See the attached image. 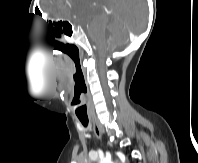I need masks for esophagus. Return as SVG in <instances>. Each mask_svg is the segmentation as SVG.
<instances>
[{
    "instance_id": "1",
    "label": "esophagus",
    "mask_w": 198,
    "mask_h": 163,
    "mask_svg": "<svg viewBox=\"0 0 198 163\" xmlns=\"http://www.w3.org/2000/svg\"><path fill=\"white\" fill-rule=\"evenodd\" d=\"M93 130L96 138L101 140L102 138V131L96 119L92 118Z\"/></svg>"
}]
</instances>
